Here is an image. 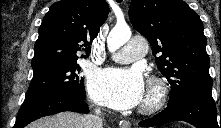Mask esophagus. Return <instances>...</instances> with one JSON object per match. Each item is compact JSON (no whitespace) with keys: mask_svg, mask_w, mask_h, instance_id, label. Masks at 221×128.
<instances>
[{"mask_svg":"<svg viewBox=\"0 0 221 128\" xmlns=\"http://www.w3.org/2000/svg\"><path fill=\"white\" fill-rule=\"evenodd\" d=\"M120 126H121V128H130V124L128 122H126V121L122 122L120 124Z\"/></svg>","mask_w":221,"mask_h":128,"instance_id":"1","label":"esophagus"}]
</instances>
